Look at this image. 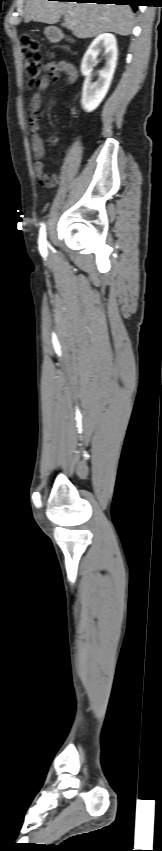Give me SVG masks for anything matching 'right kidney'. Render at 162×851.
I'll list each match as a JSON object with an SVG mask.
<instances>
[{"label": "right kidney", "mask_w": 162, "mask_h": 851, "mask_svg": "<svg viewBox=\"0 0 162 851\" xmlns=\"http://www.w3.org/2000/svg\"><path fill=\"white\" fill-rule=\"evenodd\" d=\"M101 49H104L105 66L100 71L98 80L91 83L93 64ZM117 52L116 38L110 33L97 36L86 51L81 63V72L85 76L81 104L86 112L95 110L106 96L116 68Z\"/></svg>", "instance_id": "obj_1"}]
</instances>
